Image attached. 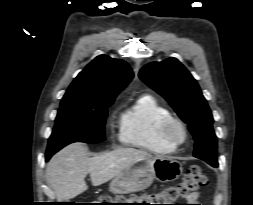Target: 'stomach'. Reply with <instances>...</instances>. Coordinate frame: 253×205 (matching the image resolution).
<instances>
[{
	"label": "stomach",
	"mask_w": 253,
	"mask_h": 205,
	"mask_svg": "<svg viewBox=\"0 0 253 205\" xmlns=\"http://www.w3.org/2000/svg\"><path fill=\"white\" fill-rule=\"evenodd\" d=\"M181 173V164L171 158L163 156L140 158L111 181L109 190L115 194L137 192L149 187L154 179L169 182L176 180Z\"/></svg>",
	"instance_id": "stomach-1"
}]
</instances>
